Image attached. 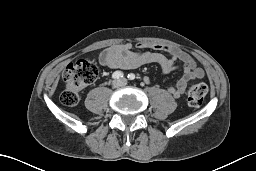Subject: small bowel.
I'll use <instances>...</instances> for the list:
<instances>
[{
  "label": "small bowel",
  "instance_id": "small-bowel-1",
  "mask_svg": "<svg viewBox=\"0 0 256 171\" xmlns=\"http://www.w3.org/2000/svg\"><path fill=\"white\" fill-rule=\"evenodd\" d=\"M133 47L130 43L113 45L101 53L99 62L102 66L111 69L124 70L137 69L147 64H158L162 68V75L178 68L177 63L180 62L183 75L174 86L168 88V93L176 98L184 94L189 81L202 79L205 76L204 70L193 58L177 47L145 43L136 44V50H133ZM145 48L153 51H144Z\"/></svg>",
  "mask_w": 256,
  "mask_h": 171
}]
</instances>
